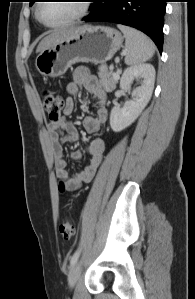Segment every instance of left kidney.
Listing matches in <instances>:
<instances>
[{"label": "left kidney", "instance_id": "1", "mask_svg": "<svg viewBox=\"0 0 195 299\" xmlns=\"http://www.w3.org/2000/svg\"><path fill=\"white\" fill-rule=\"evenodd\" d=\"M134 79L139 80L141 85L132 91V100L127 101L122 108L115 106L111 110L110 126L114 132L130 126L148 104L155 82L154 67L151 64H140L127 68L120 79V88L130 90Z\"/></svg>", "mask_w": 195, "mask_h": 299}]
</instances>
